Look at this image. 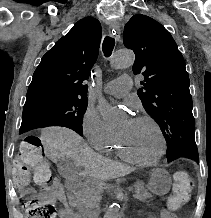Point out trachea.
<instances>
[{
	"instance_id": "trachea-1",
	"label": "trachea",
	"mask_w": 211,
	"mask_h": 218,
	"mask_svg": "<svg viewBox=\"0 0 211 218\" xmlns=\"http://www.w3.org/2000/svg\"><path fill=\"white\" fill-rule=\"evenodd\" d=\"M115 46V40L111 37H105L102 44V51L105 57H110L112 54L113 48Z\"/></svg>"
}]
</instances>
